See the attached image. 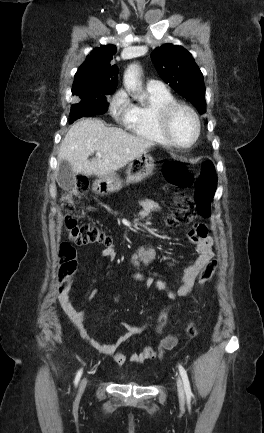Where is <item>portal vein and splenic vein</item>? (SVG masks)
Instances as JSON below:
<instances>
[{
    "label": "portal vein and splenic vein",
    "mask_w": 264,
    "mask_h": 433,
    "mask_svg": "<svg viewBox=\"0 0 264 433\" xmlns=\"http://www.w3.org/2000/svg\"><path fill=\"white\" fill-rule=\"evenodd\" d=\"M97 156H98V157H101V154H100L99 152H97Z\"/></svg>",
    "instance_id": "portal-vein-and-splenic-vein-1"
}]
</instances>
